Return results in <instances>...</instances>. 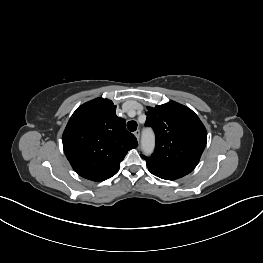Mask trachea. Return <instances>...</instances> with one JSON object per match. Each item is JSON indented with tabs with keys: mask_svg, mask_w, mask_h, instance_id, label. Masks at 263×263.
Listing matches in <instances>:
<instances>
[{
	"mask_svg": "<svg viewBox=\"0 0 263 263\" xmlns=\"http://www.w3.org/2000/svg\"><path fill=\"white\" fill-rule=\"evenodd\" d=\"M127 129L131 132L135 131L137 129V122L136 121H129L127 123Z\"/></svg>",
	"mask_w": 263,
	"mask_h": 263,
	"instance_id": "obj_1",
	"label": "trachea"
}]
</instances>
